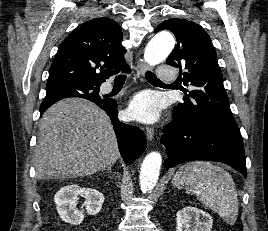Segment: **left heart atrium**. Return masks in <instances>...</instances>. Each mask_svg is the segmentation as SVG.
I'll return each instance as SVG.
<instances>
[{"label":"left heart atrium","mask_w":268,"mask_h":231,"mask_svg":"<svg viewBox=\"0 0 268 231\" xmlns=\"http://www.w3.org/2000/svg\"><path fill=\"white\" fill-rule=\"evenodd\" d=\"M160 116L157 98L151 92H141L133 97L127 108V117L143 123H152Z\"/></svg>","instance_id":"1"}]
</instances>
